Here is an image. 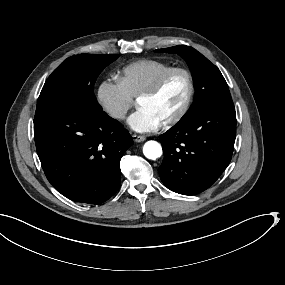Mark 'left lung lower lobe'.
I'll return each mask as SVG.
<instances>
[{
    "instance_id": "0a47b994",
    "label": "left lung lower lobe",
    "mask_w": 285,
    "mask_h": 285,
    "mask_svg": "<svg viewBox=\"0 0 285 285\" xmlns=\"http://www.w3.org/2000/svg\"><path fill=\"white\" fill-rule=\"evenodd\" d=\"M236 136L234 105H210L160 135L163 184L184 195L208 189L229 165Z\"/></svg>"
}]
</instances>
